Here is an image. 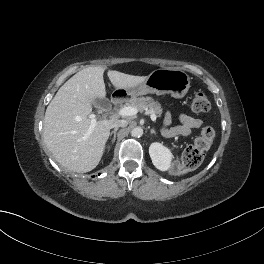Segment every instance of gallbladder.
I'll use <instances>...</instances> for the list:
<instances>
[{"instance_id": "gallbladder-1", "label": "gallbladder", "mask_w": 264, "mask_h": 264, "mask_svg": "<svg viewBox=\"0 0 264 264\" xmlns=\"http://www.w3.org/2000/svg\"><path fill=\"white\" fill-rule=\"evenodd\" d=\"M94 105L98 107H106L109 105V102L107 99H96Z\"/></svg>"}]
</instances>
